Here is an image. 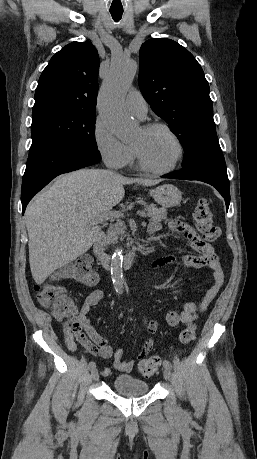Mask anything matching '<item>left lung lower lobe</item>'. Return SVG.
<instances>
[{
    "label": "left lung lower lobe",
    "mask_w": 257,
    "mask_h": 459,
    "mask_svg": "<svg viewBox=\"0 0 257 459\" xmlns=\"http://www.w3.org/2000/svg\"><path fill=\"white\" fill-rule=\"evenodd\" d=\"M163 178L199 180L214 186L223 196L228 211L230 204L229 180L224 156L217 137L206 139L202 158L193 166L164 175Z\"/></svg>",
    "instance_id": "0a47b994"
}]
</instances>
